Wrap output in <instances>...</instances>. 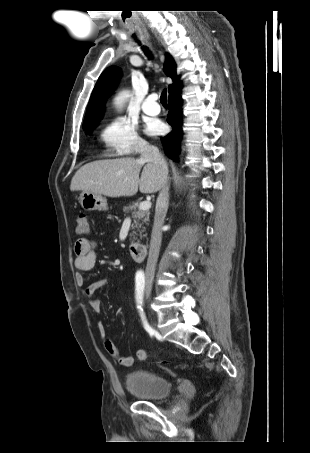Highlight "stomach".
<instances>
[{"instance_id":"obj_1","label":"stomach","mask_w":310,"mask_h":453,"mask_svg":"<svg viewBox=\"0 0 310 453\" xmlns=\"http://www.w3.org/2000/svg\"><path fill=\"white\" fill-rule=\"evenodd\" d=\"M79 199L80 204L85 211L107 210V200L100 194L82 192Z\"/></svg>"}]
</instances>
